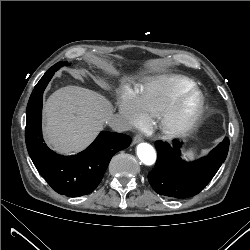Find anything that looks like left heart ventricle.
I'll return each mask as SVG.
<instances>
[{"instance_id": "left-heart-ventricle-1", "label": "left heart ventricle", "mask_w": 250, "mask_h": 250, "mask_svg": "<svg viewBox=\"0 0 250 250\" xmlns=\"http://www.w3.org/2000/svg\"><path fill=\"white\" fill-rule=\"evenodd\" d=\"M196 104V100L195 99H191L188 103V109H193V107L195 106Z\"/></svg>"}]
</instances>
